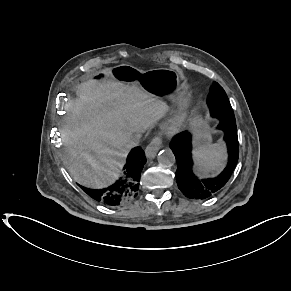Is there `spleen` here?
Wrapping results in <instances>:
<instances>
[{
	"instance_id": "3e777b00",
	"label": "spleen",
	"mask_w": 291,
	"mask_h": 291,
	"mask_svg": "<svg viewBox=\"0 0 291 291\" xmlns=\"http://www.w3.org/2000/svg\"><path fill=\"white\" fill-rule=\"evenodd\" d=\"M199 171L202 173L215 172L224 167L225 149L221 144H208L193 151Z\"/></svg>"
}]
</instances>
